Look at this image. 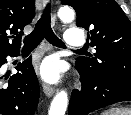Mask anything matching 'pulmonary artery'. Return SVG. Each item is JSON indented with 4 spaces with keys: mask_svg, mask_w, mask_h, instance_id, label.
<instances>
[{
    "mask_svg": "<svg viewBox=\"0 0 131 115\" xmlns=\"http://www.w3.org/2000/svg\"><path fill=\"white\" fill-rule=\"evenodd\" d=\"M65 45L68 47H81L84 45V35L77 28H70L66 31Z\"/></svg>",
    "mask_w": 131,
    "mask_h": 115,
    "instance_id": "obj_1",
    "label": "pulmonary artery"
}]
</instances>
